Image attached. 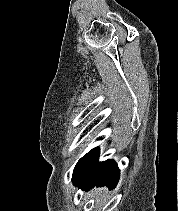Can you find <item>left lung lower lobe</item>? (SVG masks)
I'll return each mask as SVG.
<instances>
[{
	"label": "left lung lower lobe",
	"instance_id": "0a47b994",
	"mask_svg": "<svg viewBox=\"0 0 179 211\" xmlns=\"http://www.w3.org/2000/svg\"><path fill=\"white\" fill-rule=\"evenodd\" d=\"M99 148L96 147L83 156L76 164L72 181L83 189L94 186L115 188L119 180V168L113 160L98 162Z\"/></svg>",
	"mask_w": 179,
	"mask_h": 211
}]
</instances>
